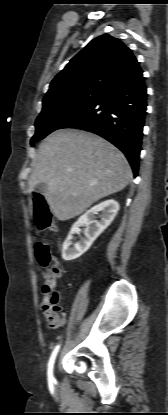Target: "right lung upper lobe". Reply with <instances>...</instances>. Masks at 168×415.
I'll return each instance as SVG.
<instances>
[{
	"instance_id": "obj_1",
	"label": "right lung upper lobe",
	"mask_w": 168,
	"mask_h": 415,
	"mask_svg": "<svg viewBox=\"0 0 168 415\" xmlns=\"http://www.w3.org/2000/svg\"><path fill=\"white\" fill-rule=\"evenodd\" d=\"M132 51L108 34L93 39L52 80L43 102L79 90H104L138 65Z\"/></svg>"
}]
</instances>
